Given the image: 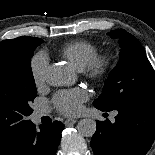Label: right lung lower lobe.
<instances>
[{
  "label": "right lung lower lobe",
  "instance_id": "obj_1",
  "mask_svg": "<svg viewBox=\"0 0 155 155\" xmlns=\"http://www.w3.org/2000/svg\"><path fill=\"white\" fill-rule=\"evenodd\" d=\"M63 129L58 121L39 130L31 122L15 139L0 146V155H55Z\"/></svg>",
  "mask_w": 155,
  "mask_h": 155
}]
</instances>
